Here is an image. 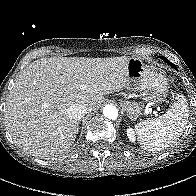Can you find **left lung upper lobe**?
I'll return each mask as SVG.
<instances>
[{"instance_id":"5c2ea615","label":"left lung upper lobe","mask_w":196,"mask_h":196,"mask_svg":"<svg viewBox=\"0 0 196 196\" xmlns=\"http://www.w3.org/2000/svg\"><path fill=\"white\" fill-rule=\"evenodd\" d=\"M160 58H162L165 62H167L169 65H171L173 68L176 67L173 63H171L170 61H168L165 57L160 56Z\"/></svg>"}]
</instances>
